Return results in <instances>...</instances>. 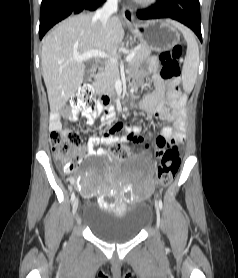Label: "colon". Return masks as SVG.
I'll use <instances>...</instances> for the list:
<instances>
[{"label": "colon", "mask_w": 238, "mask_h": 278, "mask_svg": "<svg viewBox=\"0 0 238 278\" xmlns=\"http://www.w3.org/2000/svg\"><path fill=\"white\" fill-rule=\"evenodd\" d=\"M182 51L181 46H176L172 50L162 52L159 56L161 77L169 83H176L179 78V60ZM70 106L74 109L94 112L97 102L94 99L93 88L90 85H83L70 99ZM50 145L56 164L66 172H73L79 164L81 140L78 134L67 130H54L50 135ZM153 148L166 149L157 168V178L162 185L167 186L173 181L181 163L179 148L169 144H154ZM112 153L120 160L129 155V150L125 146L116 145L112 148Z\"/></svg>", "instance_id": "5ec220e1"}]
</instances>
